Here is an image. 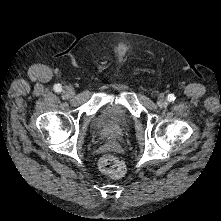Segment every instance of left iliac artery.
<instances>
[{"mask_svg": "<svg viewBox=\"0 0 221 221\" xmlns=\"http://www.w3.org/2000/svg\"><path fill=\"white\" fill-rule=\"evenodd\" d=\"M168 100H169V101H172V100H174V98H173L172 96H169V97H168Z\"/></svg>", "mask_w": 221, "mask_h": 221, "instance_id": "1", "label": "left iliac artery"}]
</instances>
